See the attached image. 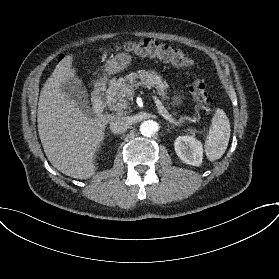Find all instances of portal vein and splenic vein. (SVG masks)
I'll use <instances>...</instances> for the list:
<instances>
[{"label": "portal vein and splenic vein", "mask_w": 279, "mask_h": 279, "mask_svg": "<svg viewBox=\"0 0 279 279\" xmlns=\"http://www.w3.org/2000/svg\"><path fill=\"white\" fill-rule=\"evenodd\" d=\"M152 99L154 100V103L156 104L159 113L162 114V116L171 124L180 127L181 126V122L180 121H175L171 115L168 114L167 110L165 109L164 105L162 104L161 100L158 98V96L153 93L150 92Z\"/></svg>", "instance_id": "portal-vein-and-splenic-vein-1"}]
</instances>
